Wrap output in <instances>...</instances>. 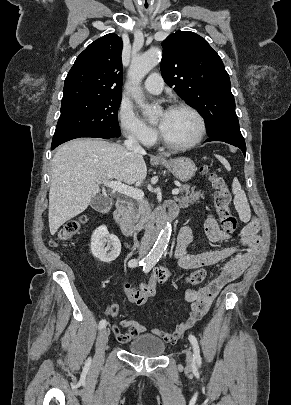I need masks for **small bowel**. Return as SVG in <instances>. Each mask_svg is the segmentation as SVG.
Returning a JSON list of instances; mask_svg holds the SVG:
<instances>
[{"label":"small bowel","instance_id":"obj_1","mask_svg":"<svg viewBox=\"0 0 291 405\" xmlns=\"http://www.w3.org/2000/svg\"><path fill=\"white\" fill-rule=\"evenodd\" d=\"M204 227L207 237L213 243H224L231 238L229 233L220 228L216 217L212 214L207 217ZM258 230L257 223H249L242 230L241 239L237 245L191 254L187 251V247L192 240V230L190 227L184 226L179 233L175 249V257L180 267L195 270L228 260L222 266L218 276L209 284L200 289L190 287L185 291L184 298L190 304V312L173 332L169 333L158 328L149 332L165 342L175 343L185 331L201 320L218 292L226 284L240 277L258 254L261 245ZM118 311L119 305L116 302L106 308V313L110 316H116ZM120 326L127 328V331L122 333L117 326L112 327L113 334L120 343H128L147 332L146 327L136 320H121Z\"/></svg>","mask_w":291,"mask_h":405}]
</instances>
